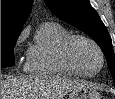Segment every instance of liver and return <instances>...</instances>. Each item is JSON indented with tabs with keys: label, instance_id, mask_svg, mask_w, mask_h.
<instances>
[{
	"label": "liver",
	"instance_id": "6515ba94",
	"mask_svg": "<svg viewBox=\"0 0 115 99\" xmlns=\"http://www.w3.org/2000/svg\"><path fill=\"white\" fill-rule=\"evenodd\" d=\"M83 84L60 76L1 78V99H61Z\"/></svg>",
	"mask_w": 115,
	"mask_h": 99
}]
</instances>
